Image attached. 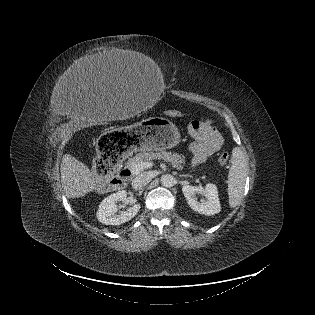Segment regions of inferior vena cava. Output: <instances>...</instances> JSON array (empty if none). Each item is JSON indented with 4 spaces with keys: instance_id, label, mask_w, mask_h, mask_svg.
Listing matches in <instances>:
<instances>
[{
    "instance_id": "1",
    "label": "inferior vena cava",
    "mask_w": 315,
    "mask_h": 315,
    "mask_svg": "<svg viewBox=\"0 0 315 315\" xmlns=\"http://www.w3.org/2000/svg\"><path fill=\"white\" fill-rule=\"evenodd\" d=\"M152 180V175L149 172H144L132 180V187L135 190H141Z\"/></svg>"
}]
</instances>
